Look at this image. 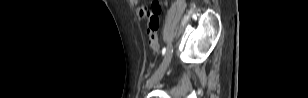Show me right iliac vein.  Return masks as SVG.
Masks as SVG:
<instances>
[{
    "instance_id": "1",
    "label": "right iliac vein",
    "mask_w": 308,
    "mask_h": 98,
    "mask_svg": "<svg viewBox=\"0 0 308 98\" xmlns=\"http://www.w3.org/2000/svg\"><path fill=\"white\" fill-rule=\"evenodd\" d=\"M171 55L172 54H166V56L164 58V60H165L164 68L161 71H159V73H157L153 78L150 79V81L148 83V87L156 85L162 79L167 67L169 66V63H170V60H171Z\"/></svg>"
}]
</instances>
